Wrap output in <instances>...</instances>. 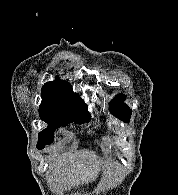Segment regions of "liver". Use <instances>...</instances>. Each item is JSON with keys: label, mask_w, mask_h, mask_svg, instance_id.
Returning <instances> with one entry per match:
<instances>
[{"label": "liver", "mask_w": 178, "mask_h": 195, "mask_svg": "<svg viewBox=\"0 0 178 195\" xmlns=\"http://www.w3.org/2000/svg\"><path fill=\"white\" fill-rule=\"evenodd\" d=\"M87 157L89 159V165L85 166L79 159ZM78 157L72 153H65L61 157L52 158L51 166L55 169L56 173L67 181L68 185H78L80 180L78 173H80V179L86 181L88 179H94L97 174V167L92 164L95 156L92 153L78 154Z\"/></svg>", "instance_id": "liver-1"}]
</instances>
